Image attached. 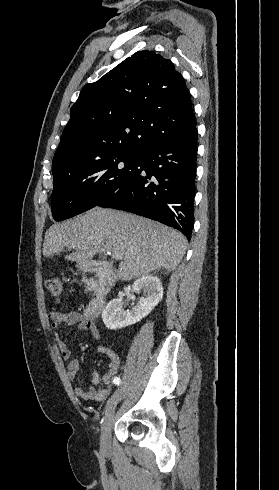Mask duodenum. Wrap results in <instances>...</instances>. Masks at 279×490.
Here are the masks:
<instances>
[{
    "label": "duodenum",
    "mask_w": 279,
    "mask_h": 490,
    "mask_svg": "<svg viewBox=\"0 0 279 490\" xmlns=\"http://www.w3.org/2000/svg\"><path fill=\"white\" fill-rule=\"evenodd\" d=\"M84 269L97 274L101 283L98 294L88 302L84 310L86 318L94 319L101 312L110 289L116 283V274L113 266L106 261H87L84 263Z\"/></svg>",
    "instance_id": "1"
}]
</instances>
